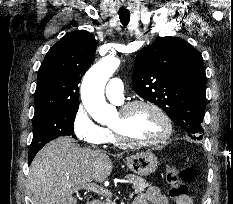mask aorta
Instances as JSON below:
<instances>
[{
	"label": "aorta",
	"mask_w": 233,
	"mask_h": 204,
	"mask_svg": "<svg viewBox=\"0 0 233 204\" xmlns=\"http://www.w3.org/2000/svg\"><path fill=\"white\" fill-rule=\"evenodd\" d=\"M119 65V59L106 56L87 71L82 81V103L90 116L100 124L109 123L116 114V108L105 100L104 88Z\"/></svg>",
	"instance_id": "1"
}]
</instances>
